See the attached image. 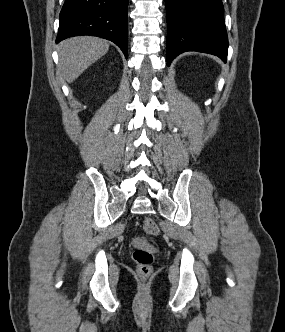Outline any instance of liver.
<instances>
[{"mask_svg":"<svg viewBox=\"0 0 285 332\" xmlns=\"http://www.w3.org/2000/svg\"><path fill=\"white\" fill-rule=\"evenodd\" d=\"M108 50L109 42L98 37L78 36L66 39L58 46L59 72L71 83Z\"/></svg>","mask_w":285,"mask_h":332,"instance_id":"obj_1","label":"liver"}]
</instances>
